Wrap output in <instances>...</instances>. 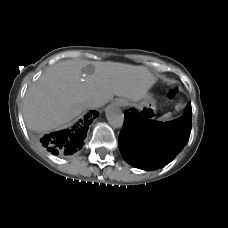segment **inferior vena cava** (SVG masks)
Returning a JSON list of instances; mask_svg holds the SVG:
<instances>
[{"label": "inferior vena cava", "instance_id": "602c4592", "mask_svg": "<svg viewBox=\"0 0 228 228\" xmlns=\"http://www.w3.org/2000/svg\"><path fill=\"white\" fill-rule=\"evenodd\" d=\"M85 105H86L87 108H91V107H93V102L92 101H87L85 103Z\"/></svg>", "mask_w": 228, "mask_h": 228}]
</instances>
